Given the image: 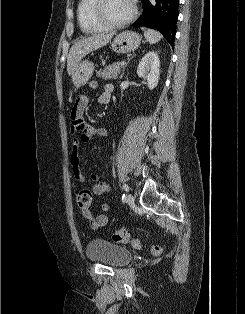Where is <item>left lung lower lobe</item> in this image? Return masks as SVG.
Masks as SVG:
<instances>
[{
    "instance_id": "1",
    "label": "left lung lower lobe",
    "mask_w": 245,
    "mask_h": 314,
    "mask_svg": "<svg viewBox=\"0 0 245 314\" xmlns=\"http://www.w3.org/2000/svg\"><path fill=\"white\" fill-rule=\"evenodd\" d=\"M143 13L134 26L154 28L174 46L179 0H142Z\"/></svg>"
}]
</instances>
